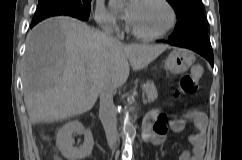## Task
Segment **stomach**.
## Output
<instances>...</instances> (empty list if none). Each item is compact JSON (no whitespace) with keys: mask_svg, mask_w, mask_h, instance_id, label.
Returning a JSON list of instances; mask_svg holds the SVG:
<instances>
[{"mask_svg":"<svg viewBox=\"0 0 242 160\" xmlns=\"http://www.w3.org/2000/svg\"><path fill=\"white\" fill-rule=\"evenodd\" d=\"M194 54L183 48H175L165 62V68L172 73L181 74L186 72L194 63Z\"/></svg>","mask_w":242,"mask_h":160,"instance_id":"obj_1","label":"stomach"}]
</instances>
